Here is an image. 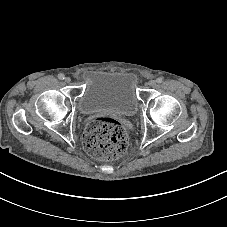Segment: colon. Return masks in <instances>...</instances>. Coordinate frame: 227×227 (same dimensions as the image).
Here are the masks:
<instances>
[{
  "mask_svg": "<svg viewBox=\"0 0 227 227\" xmlns=\"http://www.w3.org/2000/svg\"><path fill=\"white\" fill-rule=\"evenodd\" d=\"M87 152L101 160L120 157L128 145V135L124 126L111 118L91 121L84 133Z\"/></svg>",
  "mask_w": 227,
  "mask_h": 227,
  "instance_id": "5ec220e1",
  "label": "colon"
}]
</instances>
